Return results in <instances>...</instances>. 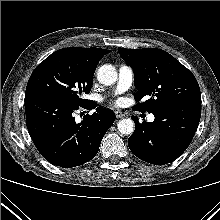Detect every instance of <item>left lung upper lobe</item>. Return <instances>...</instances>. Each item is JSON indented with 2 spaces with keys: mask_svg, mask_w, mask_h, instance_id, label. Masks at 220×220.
Returning <instances> with one entry per match:
<instances>
[{
  "mask_svg": "<svg viewBox=\"0 0 220 220\" xmlns=\"http://www.w3.org/2000/svg\"><path fill=\"white\" fill-rule=\"evenodd\" d=\"M118 52L134 71V85L138 89L134 109L153 113L162 106L187 101H201L194 75L172 55L156 48L125 49Z\"/></svg>",
  "mask_w": 220,
  "mask_h": 220,
  "instance_id": "5c2ea615",
  "label": "left lung upper lobe"
}]
</instances>
